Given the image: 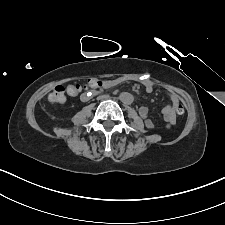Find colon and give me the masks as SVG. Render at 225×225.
Instances as JSON below:
<instances>
[{
    "instance_id": "colon-1",
    "label": "colon",
    "mask_w": 225,
    "mask_h": 225,
    "mask_svg": "<svg viewBox=\"0 0 225 225\" xmlns=\"http://www.w3.org/2000/svg\"><path fill=\"white\" fill-rule=\"evenodd\" d=\"M94 85V82L90 79L88 80L84 87L90 88ZM82 86L78 83H67L65 85L56 86L48 95L47 100L52 104H62L66 101V94L69 96H77L81 90ZM176 113L182 115L184 113V107L182 105L177 106Z\"/></svg>"
}]
</instances>
